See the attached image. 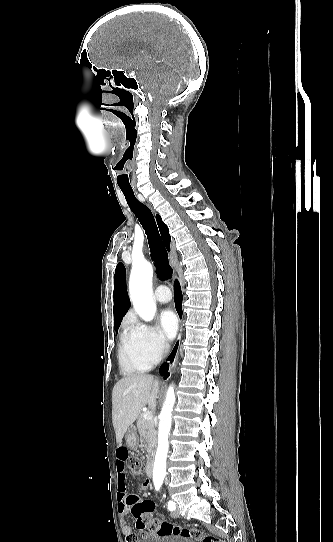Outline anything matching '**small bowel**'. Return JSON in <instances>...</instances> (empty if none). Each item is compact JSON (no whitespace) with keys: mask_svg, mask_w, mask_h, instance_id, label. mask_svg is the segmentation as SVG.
<instances>
[{"mask_svg":"<svg viewBox=\"0 0 333 542\" xmlns=\"http://www.w3.org/2000/svg\"><path fill=\"white\" fill-rule=\"evenodd\" d=\"M128 458V450L123 445L120 444L117 448V510L121 518L122 523V532L124 536L126 537L127 542H131L130 539L133 535H135L134 529L126 523L125 517L130 512V508L127 506V499L130 497L128 486H127V478L125 475V463ZM143 481V488H147L149 486V478L147 476H144L142 478ZM141 493L144 491L142 488L139 490Z\"/></svg>","mask_w":333,"mask_h":542,"instance_id":"small-bowel-1","label":"small bowel"}]
</instances>
